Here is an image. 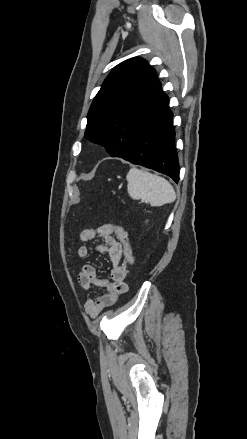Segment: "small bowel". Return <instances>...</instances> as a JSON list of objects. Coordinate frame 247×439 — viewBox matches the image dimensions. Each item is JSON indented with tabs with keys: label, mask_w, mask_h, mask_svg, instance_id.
<instances>
[{
	"label": "small bowel",
	"mask_w": 247,
	"mask_h": 439,
	"mask_svg": "<svg viewBox=\"0 0 247 439\" xmlns=\"http://www.w3.org/2000/svg\"><path fill=\"white\" fill-rule=\"evenodd\" d=\"M112 234L113 232L106 225H103L96 229H86L80 236L81 244L78 248V256L81 259H85L89 255L90 248L87 242L100 238L103 240V244L98 245L96 250L106 254L112 266L110 278L99 277L95 267L91 264L83 265L78 273V282L83 289L88 291L97 286L106 290L101 296L95 299L88 298L85 301V310L91 317H96L105 308L112 306L120 295L128 291L126 283L128 271L123 262V247Z\"/></svg>",
	"instance_id": "c3829d8e"
}]
</instances>
